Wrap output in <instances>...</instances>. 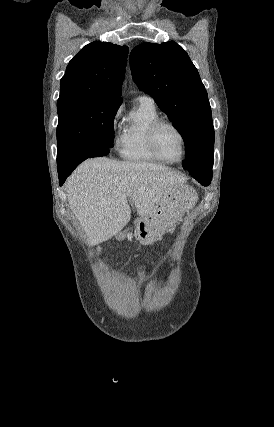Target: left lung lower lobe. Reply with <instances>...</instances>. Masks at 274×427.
Masks as SVG:
<instances>
[{"label":"left lung lower lobe","instance_id":"0a47b994","mask_svg":"<svg viewBox=\"0 0 274 427\" xmlns=\"http://www.w3.org/2000/svg\"><path fill=\"white\" fill-rule=\"evenodd\" d=\"M192 177H194L198 182H200L204 186H208L211 182L212 175H200L195 173H190Z\"/></svg>","mask_w":274,"mask_h":427}]
</instances>
